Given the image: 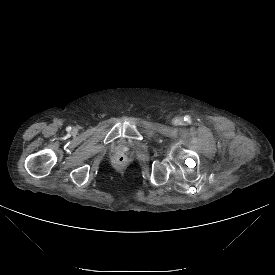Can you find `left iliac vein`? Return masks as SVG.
<instances>
[{
    "instance_id": "4c4485c4",
    "label": "left iliac vein",
    "mask_w": 275,
    "mask_h": 275,
    "mask_svg": "<svg viewBox=\"0 0 275 275\" xmlns=\"http://www.w3.org/2000/svg\"><path fill=\"white\" fill-rule=\"evenodd\" d=\"M183 122L182 118H176L174 123L175 124H181Z\"/></svg>"
}]
</instances>
